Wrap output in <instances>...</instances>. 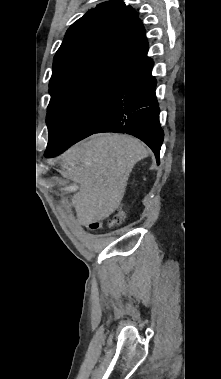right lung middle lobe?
Returning a JSON list of instances; mask_svg holds the SVG:
<instances>
[{
  "mask_svg": "<svg viewBox=\"0 0 221 379\" xmlns=\"http://www.w3.org/2000/svg\"><path fill=\"white\" fill-rule=\"evenodd\" d=\"M120 81L101 77L52 94L46 119L48 146L93 134L113 108Z\"/></svg>",
  "mask_w": 221,
  "mask_h": 379,
  "instance_id": "dd1d6c3e",
  "label": "right lung middle lobe"
}]
</instances>
